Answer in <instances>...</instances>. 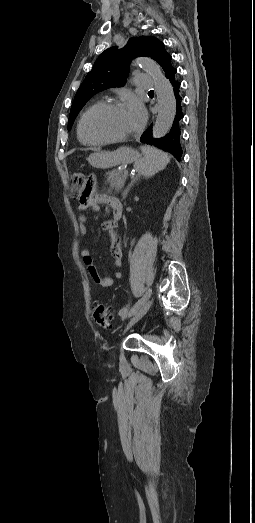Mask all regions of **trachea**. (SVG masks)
<instances>
[{"mask_svg": "<svg viewBox=\"0 0 255 523\" xmlns=\"http://www.w3.org/2000/svg\"><path fill=\"white\" fill-rule=\"evenodd\" d=\"M150 92L154 93V91H153V90H150V91H149V93H150Z\"/></svg>", "mask_w": 255, "mask_h": 523, "instance_id": "trachea-1", "label": "trachea"}]
</instances>
